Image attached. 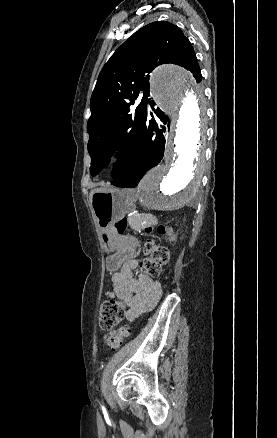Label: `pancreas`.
Segmentation results:
<instances>
[{
  "label": "pancreas",
  "instance_id": "obj_1",
  "mask_svg": "<svg viewBox=\"0 0 277 438\" xmlns=\"http://www.w3.org/2000/svg\"><path fill=\"white\" fill-rule=\"evenodd\" d=\"M156 219L157 218L154 215H150L147 218L146 214H131L130 217L126 219L125 224L128 227H133L136 223H138V225L135 227V230L138 233H143L145 232L146 227L149 225V221L154 222Z\"/></svg>",
  "mask_w": 277,
  "mask_h": 438
}]
</instances>
